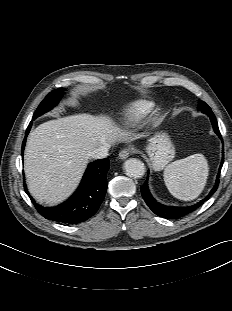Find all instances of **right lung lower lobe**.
<instances>
[{"label":"right lung lower lobe","mask_w":232,"mask_h":311,"mask_svg":"<svg viewBox=\"0 0 232 311\" xmlns=\"http://www.w3.org/2000/svg\"><path fill=\"white\" fill-rule=\"evenodd\" d=\"M31 126L32 121L26 130V136ZM25 142L26 138L22 144V152ZM108 169V158L91 162L77 191L67 201L57 207H42L37 204L29 195L25 183L24 187L35 208L46 219L64 224H78L92 217L103 202L107 189L106 173Z\"/></svg>","instance_id":"obj_1"}]
</instances>
